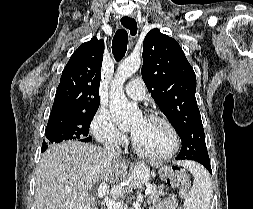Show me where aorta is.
<instances>
[{
    "label": "aorta",
    "mask_w": 253,
    "mask_h": 209,
    "mask_svg": "<svg viewBox=\"0 0 253 209\" xmlns=\"http://www.w3.org/2000/svg\"><path fill=\"white\" fill-rule=\"evenodd\" d=\"M140 66V57L130 56L126 58L118 66L116 76L111 83L109 108L119 128L129 127L139 114L137 106L127 100L123 86L126 80L138 71Z\"/></svg>",
    "instance_id": "obj_1"
}]
</instances>
